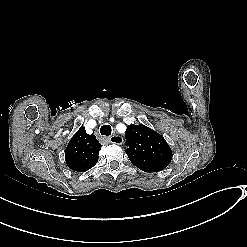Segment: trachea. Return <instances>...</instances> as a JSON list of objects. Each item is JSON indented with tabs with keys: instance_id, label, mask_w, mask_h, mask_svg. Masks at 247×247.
Listing matches in <instances>:
<instances>
[{
	"instance_id": "1",
	"label": "trachea",
	"mask_w": 247,
	"mask_h": 247,
	"mask_svg": "<svg viewBox=\"0 0 247 247\" xmlns=\"http://www.w3.org/2000/svg\"><path fill=\"white\" fill-rule=\"evenodd\" d=\"M111 132H112V129H111V126L110 125H103L100 128V133L103 136H109V135H111Z\"/></svg>"
}]
</instances>
